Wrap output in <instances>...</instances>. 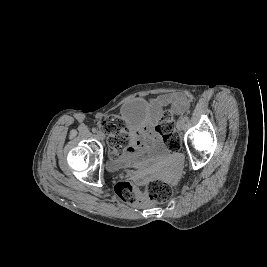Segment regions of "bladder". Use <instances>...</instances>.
I'll return each mask as SVG.
<instances>
[{
    "label": "bladder",
    "instance_id": "bladder-1",
    "mask_svg": "<svg viewBox=\"0 0 267 267\" xmlns=\"http://www.w3.org/2000/svg\"><path fill=\"white\" fill-rule=\"evenodd\" d=\"M162 150L158 144L138 145L135 142L127 144L123 154L117 158H108L106 166L111 171H116L134 165L138 161H147L157 158Z\"/></svg>",
    "mask_w": 267,
    "mask_h": 267
}]
</instances>
